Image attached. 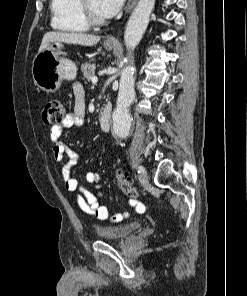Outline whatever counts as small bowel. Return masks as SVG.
Wrapping results in <instances>:
<instances>
[{
    "mask_svg": "<svg viewBox=\"0 0 247 296\" xmlns=\"http://www.w3.org/2000/svg\"><path fill=\"white\" fill-rule=\"evenodd\" d=\"M74 107L67 114L64 121L50 129V141L53 146L54 159L61 162L64 157L68 158L67 163L62 169V177L67 191L76 195L78 207L86 214L93 215L98 220L106 221L110 219L113 222L121 221L129 216L128 212L115 214L109 218V212L105 205L102 204L103 192L101 190L100 178L96 172L90 171L86 174L85 179L88 184L94 185V190L83 186L76 178L71 176L72 168L77 164L80 154L70 149L61 141V134L67 128H79L85 123V94L81 84L75 83L73 86ZM129 205L135 207L138 211L143 205L135 200H129Z\"/></svg>",
    "mask_w": 247,
    "mask_h": 296,
    "instance_id": "small-bowel-1",
    "label": "small bowel"
}]
</instances>
